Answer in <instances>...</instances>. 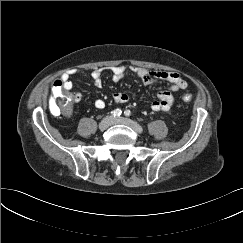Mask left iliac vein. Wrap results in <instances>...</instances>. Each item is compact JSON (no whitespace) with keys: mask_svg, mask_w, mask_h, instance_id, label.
Masks as SVG:
<instances>
[{"mask_svg":"<svg viewBox=\"0 0 243 243\" xmlns=\"http://www.w3.org/2000/svg\"><path fill=\"white\" fill-rule=\"evenodd\" d=\"M112 124L127 125V126L131 127L137 133H142V131H143L140 125H138L136 122H134L133 120L128 119V118H123V117L114 118V119H112Z\"/></svg>","mask_w":243,"mask_h":243,"instance_id":"obj_1","label":"left iliac vein"}]
</instances>
